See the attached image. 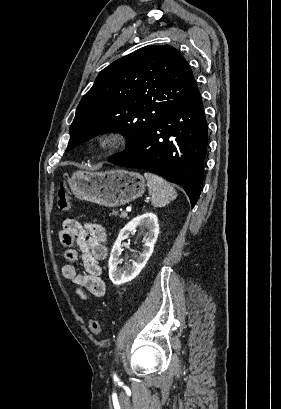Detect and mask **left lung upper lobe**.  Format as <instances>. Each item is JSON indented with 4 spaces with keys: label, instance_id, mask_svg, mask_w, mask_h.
I'll use <instances>...</instances> for the list:
<instances>
[{
    "label": "left lung upper lobe",
    "instance_id": "obj_1",
    "mask_svg": "<svg viewBox=\"0 0 281 409\" xmlns=\"http://www.w3.org/2000/svg\"><path fill=\"white\" fill-rule=\"evenodd\" d=\"M194 85L188 63L171 46H146L116 60L81 99L66 150L107 131L123 134L127 149L134 146Z\"/></svg>",
    "mask_w": 281,
    "mask_h": 409
}]
</instances>
